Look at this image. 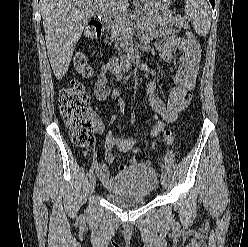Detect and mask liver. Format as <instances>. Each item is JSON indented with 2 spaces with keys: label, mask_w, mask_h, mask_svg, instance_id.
Listing matches in <instances>:
<instances>
[{
  "label": "liver",
  "mask_w": 248,
  "mask_h": 247,
  "mask_svg": "<svg viewBox=\"0 0 248 247\" xmlns=\"http://www.w3.org/2000/svg\"><path fill=\"white\" fill-rule=\"evenodd\" d=\"M130 0H42L41 15L49 61L57 79L68 71L85 25L94 13L125 11Z\"/></svg>",
  "instance_id": "1"
}]
</instances>
